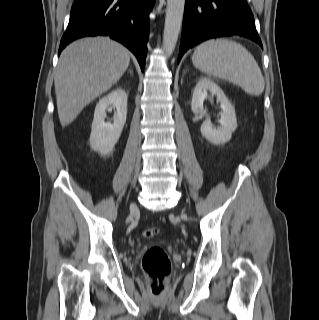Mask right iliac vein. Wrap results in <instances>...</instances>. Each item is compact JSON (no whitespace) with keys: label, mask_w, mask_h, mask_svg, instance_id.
<instances>
[{"label":"right iliac vein","mask_w":319,"mask_h":320,"mask_svg":"<svg viewBox=\"0 0 319 320\" xmlns=\"http://www.w3.org/2000/svg\"><path fill=\"white\" fill-rule=\"evenodd\" d=\"M130 208H131V210H133V211L137 210V206H136L135 203H132V204L130 205Z\"/></svg>","instance_id":"1"}]
</instances>
